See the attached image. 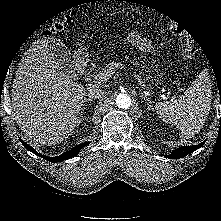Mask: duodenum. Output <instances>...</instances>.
<instances>
[{"label":"duodenum","mask_w":221,"mask_h":221,"mask_svg":"<svg viewBox=\"0 0 221 221\" xmlns=\"http://www.w3.org/2000/svg\"><path fill=\"white\" fill-rule=\"evenodd\" d=\"M76 62L78 64L77 70L82 72L84 70V60L81 57H77Z\"/></svg>","instance_id":"duodenum-1"}]
</instances>
